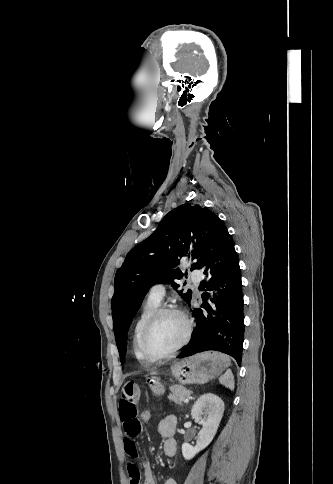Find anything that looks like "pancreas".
Returning <instances> with one entry per match:
<instances>
[{
    "instance_id": "pancreas-1",
    "label": "pancreas",
    "mask_w": 333,
    "mask_h": 484,
    "mask_svg": "<svg viewBox=\"0 0 333 484\" xmlns=\"http://www.w3.org/2000/svg\"><path fill=\"white\" fill-rule=\"evenodd\" d=\"M171 391L169 399L175 403H182L187 397H189L192 392L182 385H172L169 387Z\"/></svg>"
}]
</instances>
